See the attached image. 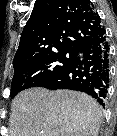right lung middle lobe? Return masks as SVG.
<instances>
[{
    "label": "right lung middle lobe",
    "mask_w": 117,
    "mask_h": 136,
    "mask_svg": "<svg viewBox=\"0 0 117 136\" xmlns=\"http://www.w3.org/2000/svg\"><path fill=\"white\" fill-rule=\"evenodd\" d=\"M74 56L72 51H62L15 68L10 97L14 98L24 89L39 86L65 68Z\"/></svg>",
    "instance_id": "1"
}]
</instances>
